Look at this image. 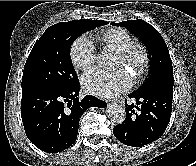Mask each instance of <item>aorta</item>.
Here are the masks:
<instances>
[{
	"label": "aorta",
	"mask_w": 196,
	"mask_h": 166,
	"mask_svg": "<svg viewBox=\"0 0 196 166\" xmlns=\"http://www.w3.org/2000/svg\"><path fill=\"white\" fill-rule=\"evenodd\" d=\"M97 62L102 67L110 68L114 66L115 58L111 53L104 51L99 54ZM107 114L111 121L116 124H121L122 122H124L126 117L125 108L117 103L108 105Z\"/></svg>",
	"instance_id": "1"
}]
</instances>
